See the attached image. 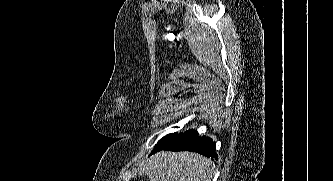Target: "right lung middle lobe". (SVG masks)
Returning <instances> with one entry per match:
<instances>
[{"instance_id":"1","label":"right lung middle lobe","mask_w":333,"mask_h":181,"mask_svg":"<svg viewBox=\"0 0 333 181\" xmlns=\"http://www.w3.org/2000/svg\"><path fill=\"white\" fill-rule=\"evenodd\" d=\"M192 130L186 131L185 133H174V134H168L166 136H164L162 139H160L158 141V144L156 146H167L170 145L172 143H174L175 141H177L178 139H180L181 137L185 136L186 134L190 133Z\"/></svg>"}]
</instances>
